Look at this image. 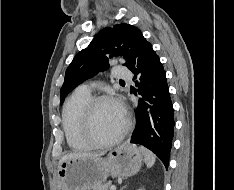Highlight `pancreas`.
Listing matches in <instances>:
<instances>
[{"label": "pancreas", "mask_w": 234, "mask_h": 190, "mask_svg": "<svg viewBox=\"0 0 234 190\" xmlns=\"http://www.w3.org/2000/svg\"><path fill=\"white\" fill-rule=\"evenodd\" d=\"M111 183H104L101 185H98L97 187L94 188V190H108V188L110 187Z\"/></svg>", "instance_id": "1"}]
</instances>
